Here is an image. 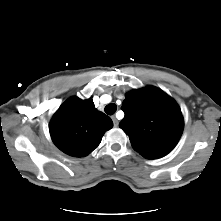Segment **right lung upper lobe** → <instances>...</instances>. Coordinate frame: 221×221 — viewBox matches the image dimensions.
<instances>
[{"label":"right lung upper lobe","mask_w":221,"mask_h":221,"mask_svg":"<svg viewBox=\"0 0 221 221\" xmlns=\"http://www.w3.org/2000/svg\"><path fill=\"white\" fill-rule=\"evenodd\" d=\"M112 126L110 117L96 110L91 98L71 97L54 114L49 131L61 151L83 157L100 144L103 134Z\"/></svg>","instance_id":"right-lung-upper-lobe-1"}]
</instances>
